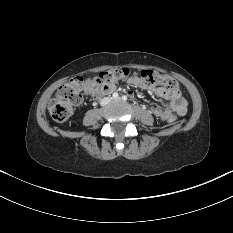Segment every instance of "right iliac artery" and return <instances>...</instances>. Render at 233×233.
I'll list each match as a JSON object with an SVG mask.
<instances>
[{"mask_svg":"<svg viewBox=\"0 0 233 233\" xmlns=\"http://www.w3.org/2000/svg\"><path fill=\"white\" fill-rule=\"evenodd\" d=\"M113 98H117L119 95H118V93L117 92H115V93H113Z\"/></svg>","mask_w":233,"mask_h":233,"instance_id":"right-iliac-artery-1","label":"right iliac artery"}]
</instances>
